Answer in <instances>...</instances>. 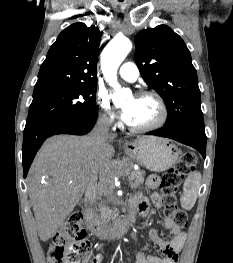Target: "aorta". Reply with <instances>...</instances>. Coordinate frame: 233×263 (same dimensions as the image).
<instances>
[{"label":"aorta","mask_w":233,"mask_h":263,"mask_svg":"<svg viewBox=\"0 0 233 263\" xmlns=\"http://www.w3.org/2000/svg\"><path fill=\"white\" fill-rule=\"evenodd\" d=\"M132 49L130 40L124 36H116L105 47L101 67L106 81L115 89V99L123 101L130 91L117 83L116 73L119 65Z\"/></svg>","instance_id":"1"}]
</instances>
